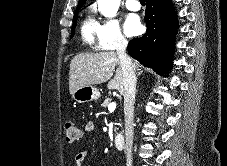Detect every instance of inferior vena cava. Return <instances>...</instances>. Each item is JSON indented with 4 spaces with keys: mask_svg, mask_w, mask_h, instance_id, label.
Instances as JSON below:
<instances>
[{
    "mask_svg": "<svg viewBox=\"0 0 227 166\" xmlns=\"http://www.w3.org/2000/svg\"><path fill=\"white\" fill-rule=\"evenodd\" d=\"M127 40L120 37L116 44L117 56L123 71L124 78V114H125V145L126 166H132L133 145V114L136 93L135 68L131 58L126 54Z\"/></svg>",
    "mask_w": 227,
    "mask_h": 166,
    "instance_id": "obj_1",
    "label": "inferior vena cava"
}]
</instances>
